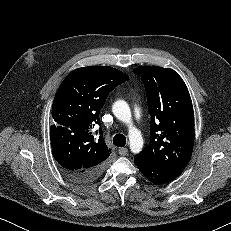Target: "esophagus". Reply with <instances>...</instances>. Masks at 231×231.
Listing matches in <instances>:
<instances>
[{
    "label": "esophagus",
    "mask_w": 231,
    "mask_h": 231,
    "mask_svg": "<svg viewBox=\"0 0 231 231\" xmlns=\"http://www.w3.org/2000/svg\"><path fill=\"white\" fill-rule=\"evenodd\" d=\"M118 152L121 156H125L128 153V149L127 148H119Z\"/></svg>",
    "instance_id": "34e87169"
}]
</instances>
